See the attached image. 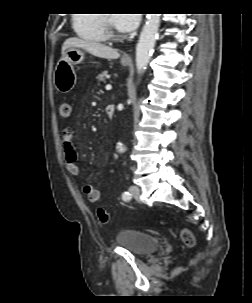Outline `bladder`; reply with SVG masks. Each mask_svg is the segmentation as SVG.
Instances as JSON below:
<instances>
[{"label": "bladder", "instance_id": "obj_1", "mask_svg": "<svg viewBox=\"0 0 252 303\" xmlns=\"http://www.w3.org/2000/svg\"><path fill=\"white\" fill-rule=\"evenodd\" d=\"M116 242L138 256H148L161 246L157 237L137 230L119 232L116 236Z\"/></svg>", "mask_w": 252, "mask_h": 303}]
</instances>
